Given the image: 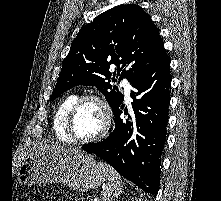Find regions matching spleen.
<instances>
[{
	"label": "spleen",
	"instance_id": "spleen-1",
	"mask_svg": "<svg viewBox=\"0 0 221 201\" xmlns=\"http://www.w3.org/2000/svg\"><path fill=\"white\" fill-rule=\"evenodd\" d=\"M106 175V184L102 187V197L104 201H111L122 192V180L120 175L108 164L100 162Z\"/></svg>",
	"mask_w": 221,
	"mask_h": 201
}]
</instances>
